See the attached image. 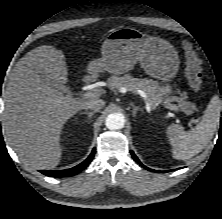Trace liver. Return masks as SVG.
<instances>
[{"label": "liver", "mask_w": 222, "mask_h": 219, "mask_svg": "<svg viewBox=\"0 0 222 219\" xmlns=\"http://www.w3.org/2000/svg\"><path fill=\"white\" fill-rule=\"evenodd\" d=\"M40 70L61 85L68 81V66L61 50L42 45L28 52L16 63L9 78L3 127L10 146L25 166L52 169L61 159L64 124L85 103L97 98L63 96L42 80Z\"/></svg>", "instance_id": "liver-1"}]
</instances>
